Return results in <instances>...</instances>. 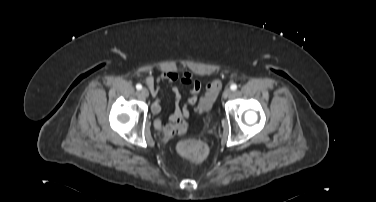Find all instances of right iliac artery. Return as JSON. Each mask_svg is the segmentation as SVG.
Instances as JSON below:
<instances>
[{
    "mask_svg": "<svg viewBox=\"0 0 376 202\" xmlns=\"http://www.w3.org/2000/svg\"><path fill=\"white\" fill-rule=\"evenodd\" d=\"M136 88H137V90H141L142 89V85L141 84H137Z\"/></svg>",
    "mask_w": 376,
    "mask_h": 202,
    "instance_id": "1",
    "label": "right iliac artery"
}]
</instances>
